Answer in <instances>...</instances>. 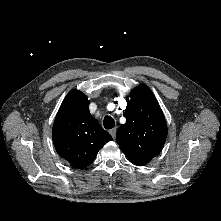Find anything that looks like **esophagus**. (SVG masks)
I'll use <instances>...</instances> for the list:
<instances>
[{"mask_svg":"<svg viewBox=\"0 0 221 221\" xmlns=\"http://www.w3.org/2000/svg\"><path fill=\"white\" fill-rule=\"evenodd\" d=\"M110 135L112 136L113 139L116 137V128H113L109 131Z\"/></svg>","mask_w":221,"mask_h":221,"instance_id":"34e87169","label":"esophagus"}]
</instances>
